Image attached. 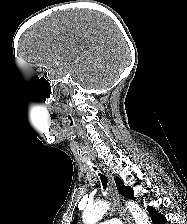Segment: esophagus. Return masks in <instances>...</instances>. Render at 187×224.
I'll use <instances>...</instances> for the list:
<instances>
[{
  "label": "esophagus",
  "instance_id": "1",
  "mask_svg": "<svg viewBox=\"0 0 187 224\" xmlns=\"http://www.w3.org/2000/svg\"><path fill=\"white\" fill-rule=\"evenodd\" d=\"M103 171L106 174L109 181V192H110L114 207L116 208V210L118 211L122 219L124 220L125 224H132L131 216L128 214L127 210L122 206V203L120 201V195L116 188L115 181L112 174L105 167H103Z\"/></svg>",
  "mask_w": 187,
  "mask_h": 224
}]
</instances>
